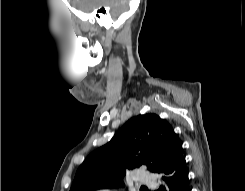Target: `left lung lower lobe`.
<instances>
[{
    "label": "left lung lower lobe",
    "instance_id": "obj_1",
    "mask_svg": "<svg viewBox=\"0 0 245 191\" xmlns=\"http://www.w3.org/2000/svg\"><path fill=\"white\" fill-rule=\"evenodd\" d=\"M158 174L161 176L163 185L157 191H191L182 147L173 160Z\"/></svg>",
    "mask_w": 245,
    "mask_h": 191
}]
</instances>
